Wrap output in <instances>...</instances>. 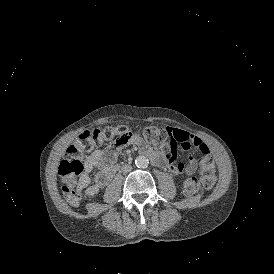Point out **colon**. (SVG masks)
<instances>
[{
	"instance_id": "obj_1",
	"label": "colon",
	"mask_w": 274,
	"mask_h": 274,
	"mask_svg": "<svg viewBox=\"0 0 274 274\" xmlns=\"http://www.w3.org/2000/svg\"><path fill=\"white\" fill-rule=\"evenodd\" d=\"M167 126L157 127L148 126L142 131L144 139L153 144L160 150L162 146H169V141L173 140V135H167ZM101 134L116 146H121L127 143L128 138L134 139V132H127L123 127L107 128L100 130L95 128L92 134L83 131L77 137V140L68 146L65 158L58 166V172L63 179L62 189L67 203L71 206H77L81 200L80 191L76 182L77 177L83 171L82 152L83 149H98L99 137ZM202 186L200 181L194 177L186 179V191L188 194L196 193ZM205 188V187H203Z\"/></svg>"
}]
</instances>
